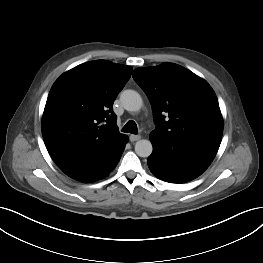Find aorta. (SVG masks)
I'll return each mask as SVG.
<instances>
[{"mask_svg":"<svg viewBox=\"0 0 263 263\" xmlns=\"http://www.w3.org/2000/svg\"><path fill=\"white\" fill-rule=\"evenodd\" d=\"M123 107L127 111H139L142 107V98L140 94L134 90H125L120 95ZM153 147L149 140L142 139L136 142L135 152L139 157H149L152 154Z\"/></svg>","mask_w":263,"mask_h":263,"instance_id":"aorta-1","label":"aorta"}]
</instances>
